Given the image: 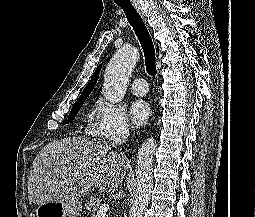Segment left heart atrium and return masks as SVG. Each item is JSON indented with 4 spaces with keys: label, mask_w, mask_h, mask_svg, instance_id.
Returning <instances> with one entry per match:
<instances>
[{
    "label": "left heart atrium",
    "mask_w": 255,
    "mask_h": 217,
    "mask_svg": "<svg viewBox=\"0 0 255 217\" xmlns=\"http://www.w3.org/2000/svg\"><path fill=\"white\" fill-rule=\"evenodd\" d=\"M129 115L135 126H142L149 118L150 107L144 100H135L130 105Z\"/></svg>",
    "instance_id": "1"
}]
</instances>
